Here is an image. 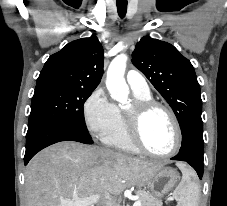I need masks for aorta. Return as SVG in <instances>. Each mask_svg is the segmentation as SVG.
Wrapping results in <instances>:
<instances>
[{
	"label": "aorta",
	"mask_w": 227,
	"mask_h": 206,
	"mask_svg": "<svg viewBox=\"0 0 227 206\" xmlns=\"http://www.w3.org/2000/svg\"><path fill=\"white\" fill-rule=\"evenodd\" d=\"M127 56L120 54L110 63L107 71L106 86L113 100L125 103L129 95V87L125 81Z\"/></svg>",
	"instance_id": "762f6f07"
}]
</instances>
